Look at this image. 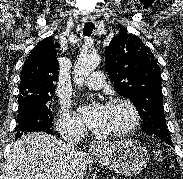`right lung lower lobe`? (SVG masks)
<instances>
[{"instance_id": "right-lung-lower-lobe-1", "label": "right lung lower lobe", "mask_w": 183, "mask_h": 179, "mask_svg": "<svg viewBox=\"0 0 183 179\" xmlns=\"http://www.w3.org/2000/svg\"><path fill=\"white\" fill-rule=\"evenodd\" d=\"M43 132H46V133L51 134V135L53 134V132H52L51 129L43 130ZM23 134H24V133H23ZM23 134H22V135H23ZM22 135H21V136H22ZM21 136H19V137H21Z\"/></svg>"}]
</instances>
